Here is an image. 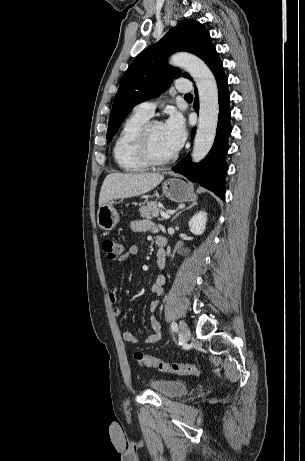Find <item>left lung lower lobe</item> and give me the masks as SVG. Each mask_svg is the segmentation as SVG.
Listing matches in <instances>:
<instances>
[{"label":"left lung lower lobe","instance_id":"1","mask_svg":"<svg viewBox=\"0 0 305 461\" xmlns=\"http://www.w3.org/2000/svg\"><path fill=\"white\" fill-rule=\"evenodd\" d=\"M212 70L218 85L219 92V118L217 125V134L212 149L204 160L197 164H193L189 155L182 159L173 167V171L180 173L195 183L211 190L221 199L224 200L225 186L224 179L227 171L225 155L228 151V137L231 133L230 125V107H229V91L227 78L225 76L222 61L218 55L209 65ZM197 95V90L195 89ZM194 109L198 112L199 101L195 99ZM195 128L192 130V137L195 134Z\"/></svg>","mask_w":305,"mask_h":461}]
</instances>
